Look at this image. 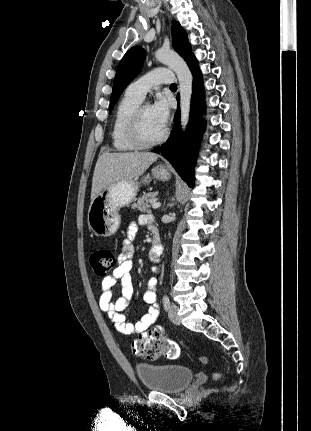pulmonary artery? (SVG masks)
Wrapping results in <instances>:
<instances>
[{"label":"pulmonary artery","instance_id":"1","mask_svg":"<svg viewBox=\"0 0 311 431\" xmlns=\"http://www.w3.org/2000/svg\"><path fill=\"white\" fill-rule=\"evenodd\" d=\"M173 81L172 73L166 68H155L133 83H131L127 90L139 96L141 99L144 98L145 94L154 88H157L161 84H169Z\"/></svg>","mask_w":311,"mask_h":431}]
</instances>
